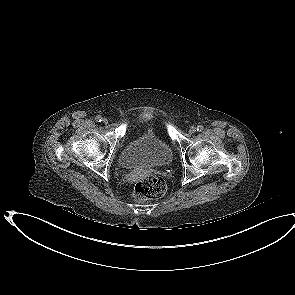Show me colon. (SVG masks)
I'll return each instance as SVG.
<instances>
[{
    "label": "colon",
    "instance_id": "colon-1",
    "mask_svg": "<svg viewBox=\"0 0 295 295\" xmlns=\"http://www.w3.org/2000/svg\"><path fill=\"white\" fill-rule=\"evenodd\" d=\"M166 192V183L160 176L142 179L134 189V197L138 201H146L162 197Z\"/></svg>",
    "mask_w": 295,
    "mask_h": 295
}]
</instances>
